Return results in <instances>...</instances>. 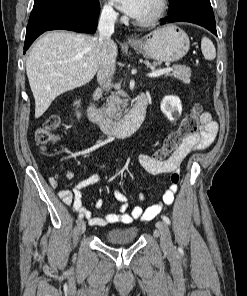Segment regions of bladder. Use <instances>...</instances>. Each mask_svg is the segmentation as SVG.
Here are the masks:
<instances>
[{
	"label": "bladder",
	"mask_w": 247,
	"mask_h": 296,
	"mask_svg": "<svg viewBox=\"0 0 247 296\" xmlns=\"http://www.w3.org/2000/svg\"><path fill=\"white\" fill-rule=\"evenodd\" d=\"M137 232L138 228L136 226L114 228L106 232L105 240L111 244L129 243L136 239Z\"/></svg>",
	"instance_id": "obj_1"
}]
</instances>
